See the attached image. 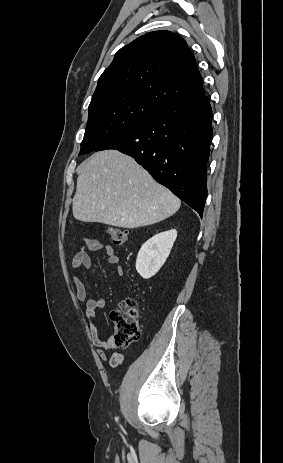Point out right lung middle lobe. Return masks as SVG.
Here are the masks:
<instances>
[{"instance_id":"1","label":"right lung middle lobe","mask_w":283,"mask_h":463,"mask_svg":"<svg viewBox=\"0 0 283 463\" xmlns=\"http://www.w3.org/2000/svg\"><path fill=\"white\" fill-rule=\"evenodd\" d=\"M159 109L144 98L121 91L107 92L92 98L79 154L96 150Z\"/></svg>"}]
</instances>
